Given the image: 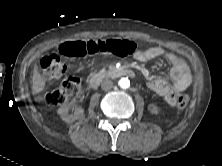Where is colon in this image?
Here are the masks:
<instances>
[{"instance_id":"1","label":"colon","mask_w":222,"mask_h":166,"mask_svg":"<svg viewBox=\"0 0 222 166\" xmlns=\"http://www.w3.org/2000/svg\"><path fill=\"white\" fill-rule=\"evenodd\" d=\"M137 49L136 42L128 39H99L90 41H72L61 45L60 53L67 58H80L98 54L126 56ZM41 68L46 79L60 78L66 70L63 60L58 54L45 56ZM82 86L78 77L69 76L54 90L49 92L45 101L49 106L58 107L68 102H74L81 97ZM189 102L185 94L177 98L176 107L184 109Z\"/></svg>"}]
</instances>
